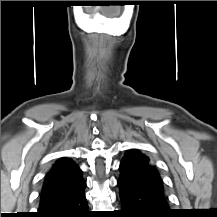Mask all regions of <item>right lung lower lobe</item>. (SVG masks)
I'll list each match as a JSON object with an SVG mask.
<instances>
[{
  "label": "right lung lower lobe",
  "mask_w": 217,
  "mask_h": 217,
  "mask_svg": "<svg viewBox=\"0 0 217 217\" xmlns=\"http://www.w3.org/2000/svg\"><path fill=\"white\" fill-rule=\"evenodd\" d=\"M85 189V188H84ZM84 189L39 206L33 217H91Z\"/></svg>",
  "instance_id": "right-lung-lower-lobe-1"
}]
</instances>
